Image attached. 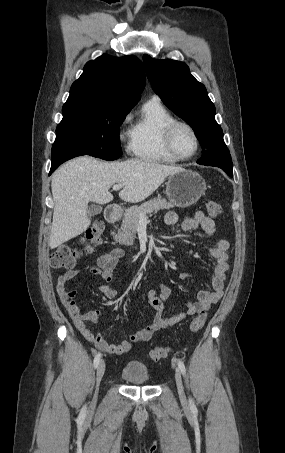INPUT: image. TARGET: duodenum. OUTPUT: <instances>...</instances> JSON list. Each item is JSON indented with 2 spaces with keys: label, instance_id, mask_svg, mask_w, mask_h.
<instances>
[{
  "label": "duodenum",
  "instance_id": "1",
  "mask_svg": "<svg viewBox=\"0 0 285 453\" xmlns=\"http://www.w3.org/2000/svg\"><path fill=\"white\" fill-rule=\"evenodd\" d=\"M120 215L121 211L116 206H109L105 211V218L111 224L116 223L119 220Z\"/></svg>",
  "mask_w": 285,
  "mask_h": 453
}]
</instances>
